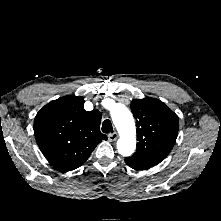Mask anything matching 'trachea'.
<instances>
[{
    "label": "trachea",
    "instance_id": "1",
    "mask_svg": "<svg viewBox=\"0 0 221 221\" xmlns=\"http://www.w3.org/2000/svg\"><path fill=\"white\" fill-rule=\"evenodd\" d=\"M102 132H104V133H111V132H113V127H112L111 121L109 119H106L103 122Z\"/></svg>",
    "mask_w": 221,
    "mask_h": 221
}]
</instances>
